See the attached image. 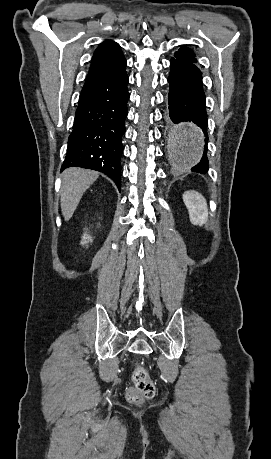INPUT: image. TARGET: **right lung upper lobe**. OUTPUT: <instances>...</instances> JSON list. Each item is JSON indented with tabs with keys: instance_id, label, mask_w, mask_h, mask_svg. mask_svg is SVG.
<instances>
[{
	"instance_id": "cb5924a9",
	"label": "right lung upper lobe",
	"mask_w": 271,
	"mask_h": 459,
	"mask_svg": "<svg viewBox=\"0 0 271 459\" xmlns=\"http://www.w3.org/2000/svg\"><path fill=\"white\" fill-rule=\"evenodd\" d=\"M126 59L118 43L103 42L94 52L85 86L125 71Z\"/></svg>"
}]
</instances>
